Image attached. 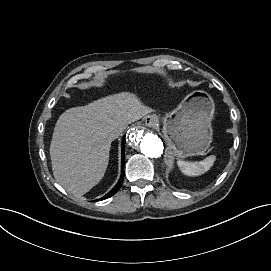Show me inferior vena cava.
I'll return each mask as SVG.
<instances>
[{"label":"inferior vena cava","mask_w":271,"mask_h":271,"mask_svg":"<svg viewBox=\"0 0 271 271\" xmlns=\"http://www.w3.org/2000/svg\"><path fill=\"white\" fill-rule=\"evenodd\" d=\"M120 134H117L115 137L118 138Z\"/></svg>","instance_id":"1"}]
</instances>
